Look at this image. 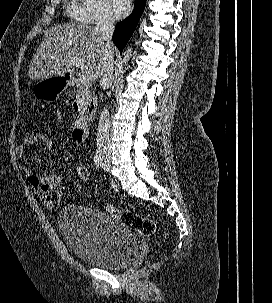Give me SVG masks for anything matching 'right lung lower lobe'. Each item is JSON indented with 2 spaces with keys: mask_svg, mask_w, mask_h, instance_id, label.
I'll list each match as a JSON object with an SVG mask.
<instances>
[{
  "mask_svg": "<svg viewBox=\"0 0 272 303\" xmlns=\"http://www.w3.org/2000/svg\"><path fill=\"white\" fill-rule=\"evenodd\" d=\"M145 3L146 0H135L133 13L122 22L116 24L112 40L121 53L139 22Z\"/></svg>",
  "mask_w": 272,
  "mask_h": 303,
  "instance_id": "1",
  "label": "right lung lower lobe"
}]
</instances>
